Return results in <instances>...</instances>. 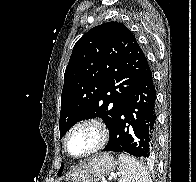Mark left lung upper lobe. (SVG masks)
Masks as SVG:
<instances>
[{"mask_svg":"<svg viewBox=\"0 0 196 182\" xmlns=\"http://www.w3.org/2000/svg\"><path fill=\"white\" fill-rule=\"evenodd\" d=\"M148 67L135 36L122 23L107 22L90 29L75 44L66 67L60 138L78 121L94 117H101L111 134L126 96Z\"/></svg>","mask_w":196,"mask_h":182,"instance_id":"obj_1","label":"left lung upper lobe"}]
</instances>
